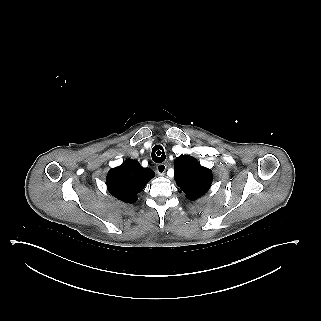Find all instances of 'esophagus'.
<instances>
[{"mask_svg":"<svg viewBox=\"0 0 321 321\" xmlns=\"http://www.w3.org/2000/svg\"><path fill=\"white\" fill-rule=\"evenodd\" d=\"M167 165L166 164H159L156 167V171L158 173L159 176H164L165 171H166Z\"/></svg>","mask_w":321,"mask_h":321,"instance_id":"obj_1","label":"esophagus"}]
</instances>
